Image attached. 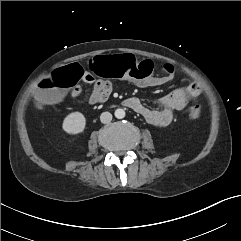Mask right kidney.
Wrapping results in <instances>:
<instances>
[{"mask_svg":"<svg viewBox=\"0 0 241 241\" xmlns=\"http://www.w3.org/2000/svg\"><path fill=\"white\" fill-rule=\"evenodd\" d=\"M86 127V119L80 112H72L63 121L62 129L70 135L82 133Z\"/></svg>","mask_w":241,"mask_h":241,"instance_id":"obj_1","label":"right kidney"}]
</instances>
